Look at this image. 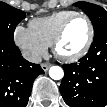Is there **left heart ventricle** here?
I'll use <instances>...</instances> for the list:
<instances>
[{"label": "left heart ventricle", "instance_id": "b2bd125f", "mask_svg": "<svg viewBox=\"0 0 107 107\" xmlns=\"http://www.w3.org/2000/svg\"><path fill=\"white\" fill-rule=\"evenodd\" d=\"M89 35L87 22L82 18L74 19L67 27L64 37L58 46L63 55H73L85 45Z\"/></svg>", "mask_w": 107, "mask_h": 107}]
</instances>
